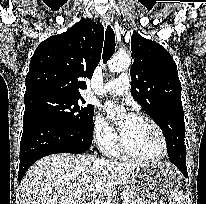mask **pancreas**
Listing matches in <instances>:
<instances>
[{
  "label": "pancreas",
  "mask_w": 206,
  "mask_h": 204,
  "mask_svg": "<svg viewBox=\"0 0 206 204\" xmlns=\"http://www.w3.org/2000/svg\"><path fill=\"white\" fill-rule=\"evenodd\" d=\"M126 193V197L122 199V204H137V196L130 187H127Z\"/></svg>",
  "instance_id": "obj_1"
}]
</instances>
